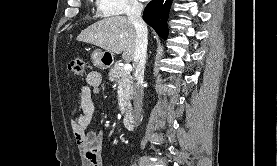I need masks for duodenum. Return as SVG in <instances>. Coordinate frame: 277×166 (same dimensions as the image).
<instances>
[{"mask_svg":"<svg viewBox=\"0 0 277 166\" xmlns=\"http://www.w3.org/2000/svg\"><path fill=\"white\" fill-rule=\"evenodd\" d=\"M123 125L127 130H133L135 125L134 115L131 112L125 114L123 118Z\"/></svg>","mask_w":277,"mask_h":166,"instance_id":"410a0bca","label":"duodenum"}]
</instances>
